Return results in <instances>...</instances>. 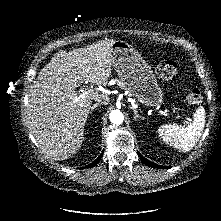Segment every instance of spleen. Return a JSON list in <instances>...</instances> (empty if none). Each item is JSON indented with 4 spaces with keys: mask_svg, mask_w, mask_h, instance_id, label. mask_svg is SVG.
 Returning a JSON list of instances; mask_svg holds the SVG:
<instances>
[{
    "mask_svg": "<svg viewBox=\"0 0 221 221\" xmlns=\"http://www.w3.org/2000/svg\"><path fill=\"white\" fill-rule=\"evenodd\" d=\"M205 124V110L203 107L197 109L194 121L186 127L177 125H162L158 129L159 136L163 141L173 145L184 152L190 151L201 137Z\"/></svg>",
    "mask_w": 221,
    "mask_h": 221,
    "instance_id": "spleen-1",
    "label": "spleen"
}]
</instances>
